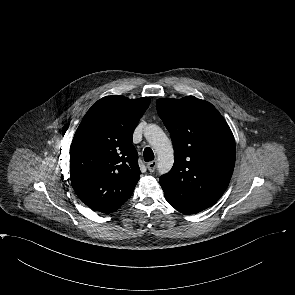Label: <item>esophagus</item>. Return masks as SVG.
<instances>
[{
    "label": "esophagus",
    "mask_w": 295,
    "mask_h": 295,
    "mask_svg": "<svg viewBox=\"0 0 295 295\" xmlns=\"http://www.w3.org/2000/svg\"><path fill=\"white\" fill-rule=\"evenodd\" d=\"M157 166V161H151L147 163V168L150 172H154Z\"/></svg>",
    "instance_id": "esophagus-1"
}]
</instances>
